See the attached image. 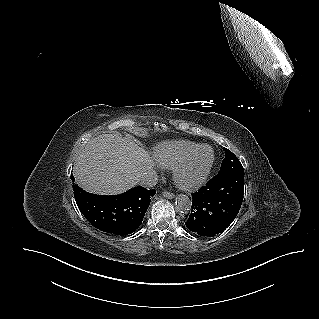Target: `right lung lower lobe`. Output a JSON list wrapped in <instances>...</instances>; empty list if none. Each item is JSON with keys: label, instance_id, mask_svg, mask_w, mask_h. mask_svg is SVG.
Wrapping results in <instances>:
<instances>
[{"label": "right lung lower lobe", "instance_id": "98d812e1", "mask_svg": "<svg viewBox=\"0 0 319 319\" xmlns=\"http://www.w3.org/2000/svg\"><path fill=\"white\" fill-rule=\"evenodd\" d=\"M73 191L80 212L91 225L116 235H128L141 225L150 198L156 193L137 186L120 195L104 196L88 193L76 184Z\"/></svg>", "mask_w": 319, "mask_h": 319}]
</instances>
